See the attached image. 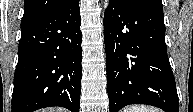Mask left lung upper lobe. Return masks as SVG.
<instances>
[{"mask_svg": "<svg viewBox=\"0 0 193 112\" xmlns=\"http://www.w3.org/2000/svg\"><path fill=\"white\" fill-rule=\"evenodd\" d=\"M126 6H145L151 4L162 5L161 0H116Z\"/></svg>", "mask_w": 193, "mask_h": 112, "instance_id": "left-lung-upper-lobe-1", "label": "left lung upper lobe"}]
</instances>
